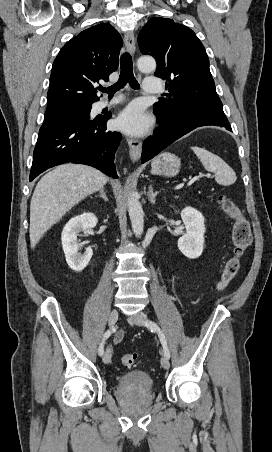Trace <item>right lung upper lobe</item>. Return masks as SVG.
<instances>
[{
  "mask_svg": "<svg viewBox=\"0 0 272 452\" xmlns=\"http://www.w3.org/2000/svg\"><path fill=\"white\" fill-rule=\"evenodd\" d=\"M120 34L108 23L82 31L54 60L45 116L89 107L99 100L95 85L118 68Z\"/></svg>",
  "mask_w": 272,
  "mask_h": 452,
  "instance_id": "1",
  "label": "right lung upper lobe"
}]
</instances>
